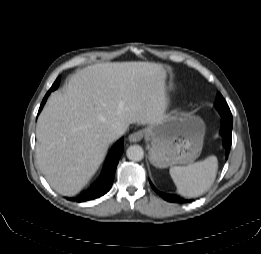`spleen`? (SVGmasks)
I'll list each match as a JSON object with an SVG mask.
<instances>
[{
  "label": "spleen",
  "mask_w": 261,
  "mask_h": 254,
  "mask_svg": "<svg viewBox=\"0 0 261 254\" xmlns=\"http://www.w3.org/2000/svg\"><path fill=\"white\" fill-rule=\"evenodd\" d=\"M217 170V157L209 156L187 166L171 167L169 172L178 193L186 198H195L209 190L214 183Z\"/></svg>",
  "instance_id": "3e777b00"
}]
</instances>
